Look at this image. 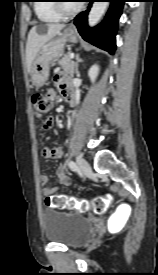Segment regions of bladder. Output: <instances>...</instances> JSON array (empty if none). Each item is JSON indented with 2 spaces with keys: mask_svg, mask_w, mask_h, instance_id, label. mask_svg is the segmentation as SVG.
Listing matches in <instances>:
<instances>
[{
  "mask_svg": "<svg viewBox=\"0 0 158 275\" xmlns=\"http://www.w3.org/2000/svg\"><path fill=\"white\" fill-rule=\"evenodd\" d=\"M43 231L46 240L76 247L92 234V222L76 212L58 211L47 208L42 214Z\"/></svg>",
  "mask_w": 158,
  "mask_h": 275,
  "instance_id": "bladder-1",
  "label": "bladder"
}]
</instances>
